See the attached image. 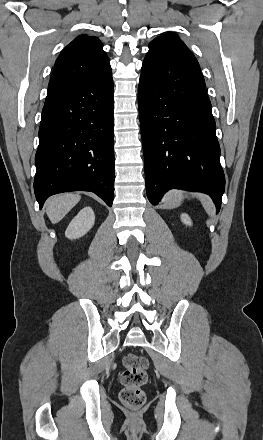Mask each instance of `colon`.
I'll use <instances>...</instances> for the list:
<instances>
[{
	"label": "colon",
	"mask_w": 263,
	"mask_h": 440,
	"mask_svg": "<svg viewBox=\"0 0 263 440\" xmlns=\"http://www.w3.org/2000/svg\"><path fill=\"white\" fill-rule=\"evenodd\" d=\"M148 361L145 357L129 353L123 359L120 373L122 389L119 393L121 403L132 409H140L146 403V395L142 387L148 379Z\"/></svg>",
	"instance_id": "obj_1"
}]
</instances>
